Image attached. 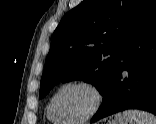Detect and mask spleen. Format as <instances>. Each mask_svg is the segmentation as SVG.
I'll return each instance as SVG.
<instances>
[{"label":"spleen","instance_id":"spleen-1","mask_svg":"<svg viewBox=\"0 0 156 124\" xmlns=\"http://www.w3.org/2000/svg\"><path fill=\"white\" fill-rule=\"evenodd\" d=\"M122 116L130 124H156V116L140 110H125Z\"/></svg>","mask_w":156,"mask_h":124}]
</instances>
